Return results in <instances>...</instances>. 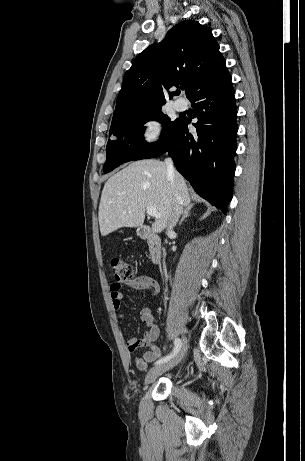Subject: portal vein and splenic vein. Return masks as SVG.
<instances>
[{
    "label": "portal vein and splenic vein",
    "mask_w": 305,
    "mask_h": 461,
    "mask_svg": "<svg viewBox=\"0 0 305 461\" xmlns=\"http://www.w3.org/2000/svg\"><path fill=\"white\" fill-rule=\"evenodd\" d=\"M146 211H147V214L151 217H154V218H160L161 215L160 213L157 211L156 208L152 207V206H148L146 208Z\"/></svg>",
    "instance_id": "obj_1"
}]
</instances>
